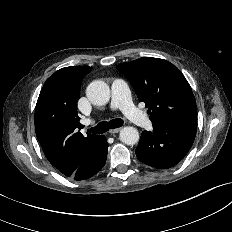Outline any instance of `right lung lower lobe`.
Wrapping results in <instances>:
<instances>
[{"label":"right lung lower lobe","instance_id":"98d812e1","mask_svg":"<svg viewBox=\"0 0 232 232\" xmlns=\"http://www.w3.org/2000/svg\"><path fill=\"white\" fill-rule=\"evenodd\" d=\"M107 149L106 138L100 136L98 142L86 152L79 167L68 177H72L74 180H84L98 173L105 165Z\"/></svg>","mask_w":232,"mask_h":232}]
</instances>
